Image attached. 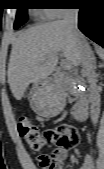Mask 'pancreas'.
Here are the masks:
<instances>
[{
	"instance_id": "obj_1",
	"label": "pancreas",
	"mask_w": 104,
	"mask_h": 169,
	"mask_svg": "<svg viewBox=\"0 0 104 169\" xmlns=\"http://www.w3.org/2000/svg\"><path fill=\"white\" fill-rule=\"evenodd\" d=\"M73 76L74 73H65L62 78H61V83L67 87L69 84H71L73 82Z\"/></svg>"
}]
</instances>
